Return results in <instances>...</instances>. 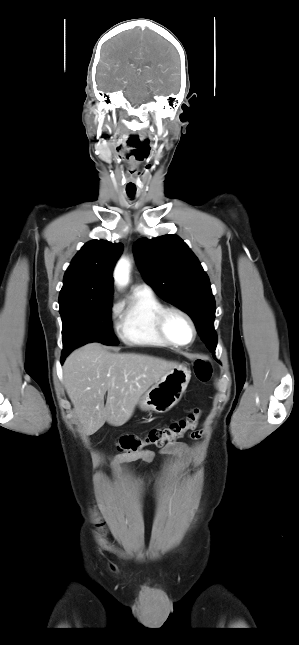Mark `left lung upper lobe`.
Listing matches in <instances>:
<instances>
[{
    "label": "left lung upper lobe",
    "mask_w": 299,
    "mask_h": 645,
    "mask_svg": "<svg viewBox=\"0 0 299 645\" xmlns=\"http://www.w3.org/2000/svg\"><path fill=\"white\" fill-rule=\"evenodd\" d=\"M139 270L156 293L194 321L207 348L215 353V299L199 260L176 235L140 238L133 245Z\"/></svg>",
    "instance_id": "obj_1"
}]
</instances>
